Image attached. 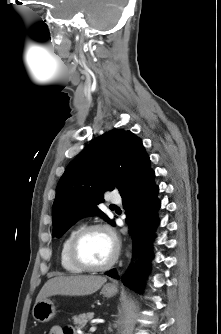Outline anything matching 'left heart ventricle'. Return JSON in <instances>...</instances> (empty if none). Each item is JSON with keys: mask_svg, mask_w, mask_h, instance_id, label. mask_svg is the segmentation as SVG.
<instances>
[{"mask_svg": "<svg viewBox=\"0 0 221 334\" xmlns=\"http://www.w3.org/2000/svg\"><path fill=\"white\" fill-rule=\"evenodd\" d=\"M80 257L90 265L105 264L114 253L112 237L104 230H93L84 235L78 247Z\"/></svg>", "mask_w": 221, "mask_h": 334, "instance_id": "obj_1", "label": "left heart ventricle"}]
</instances>
